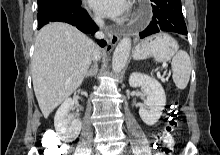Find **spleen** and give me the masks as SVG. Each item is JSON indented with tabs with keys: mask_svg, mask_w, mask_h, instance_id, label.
<instances>
[{
	"mask_svg": "<svg viewBox=\"0 0 220 155\" xmlns=\"http://www.w3.org/2000/svg\"><path fill=\"white\" fill-rule=\"evenodd\" d=\"M173 81L176 87L180 90H184L189 82L191 74V61L188 53L184 50H180L172 59Z\"/></svg>",
	"mask_w": 220,
	"mask_h": 155,
	"instance_id": "1",
	"label": "spleen"
}]
</instances>
